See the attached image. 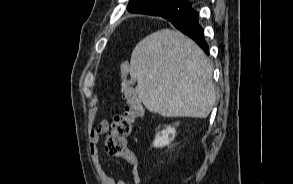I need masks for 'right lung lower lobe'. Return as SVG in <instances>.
<instances>
[{"mask_svg": "<svg viewBox=\"0 0 293 184\" xmlns=\"http://www.w3.org/2000/svg\"><path fill=\"white\" fill-rule=\"evenodd\" d=\"M170 21L177 29L192 38L206 54L208 45L203 36V29L198 23V13L191 7L178 10L173 16L165 18Z\"/></svg>", "mask_w": 293, "mask_h": 184, "instance_id": "1", "label": "right lung lower lobe"}]
</instances>
